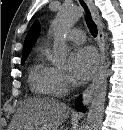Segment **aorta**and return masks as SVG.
Listing matches in <instances>:
<instances>
[{
  "label": "aorta",
  "mask_w": 123,
  "mask_h": 130,
  "mask_svg": "<svg viewBox=\"0 0 123 130\" xmlns=\"http://www.w3.org/2000/svg\"><path fill=\"white\" fill-rule=\"evenodd\" d=\"M82 15V9L77 6H64L58 11L51 27L54 37L53 55L51 57L53 65L62 67L65 64L68 53L65 35ZM109 66L110 62L107 59L94 85L85 130H100L101 128L107 92V78L110 75Z\"/></svg>",
  "instance_id": "762f6f07"
}]
</instances>
